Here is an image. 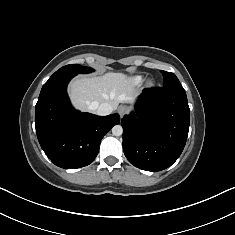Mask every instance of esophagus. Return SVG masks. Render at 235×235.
Segmentation results:
<instances>
[{
	"label": "esophagus",
	"mask_w": 235,
	"mask_h": 235,
	"mask_svg": "<svg viewBox=\"0 0 235 235\" xmlns=\"http://www.w3.org/2000/svg\"><path fill=\"white\" fill-rule=\"evenodd\" d=\"M129 111V108L125 105H121L119 108H118V113L120 116H123L125 114H127Z\"/></svg>",
	"instance_id": "esophagus-1"
}]
</instances>
